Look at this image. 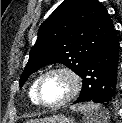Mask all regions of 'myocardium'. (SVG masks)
<instances>
[{"label":"myocardium","instance_id":"myocardium-1","mask_svg":"<svg viewBox=\"0 0 122 123\" xmlns=\"http://www.w3.org/2000/svg\"><path fill=\"white\" fill-rule=\"evenodd\" d=\"M55 73L66 75L70 80L71 87L68 94L63 99L55 103H47L42 99V96H41L42 84L47 76L51 74H55ZM81 87H82V78L74 69L67 66H58V67H54L47 70L40 76L36 86V97L39 104H41L42 106L48 107V108H56V107H60L67 104L73 98H75L80 92Z\"/></svg>","mask_w":122,"mask_h":123}]
</instances>
